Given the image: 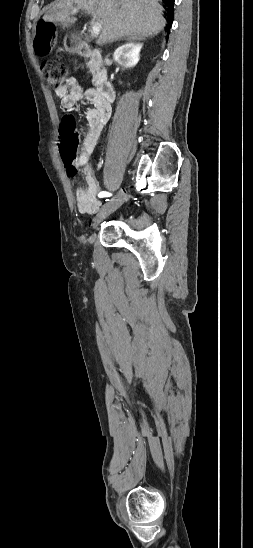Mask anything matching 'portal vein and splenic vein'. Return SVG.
Returning <instances> with one entry per match:
<instances>
[{"label": "portal vein and splenic vein", "instance_id": "portal-vein-and-splenic-vein-1", "mask_svg": "<svg viewBox=\"0 0 253 548\" xmlns=\"http://www.w3.org/2000/svg\"><path fill=\"white\" fill-rule=\"evenodd\" d=\"M78 12L77 9L72 10V14H76ZM95 18V17H94ZM101 23L100 21H93L91 22V36L97 37L101 31Z\"/></svg>", "mask_w": 253, "mask_h": 548}]
</instances>
